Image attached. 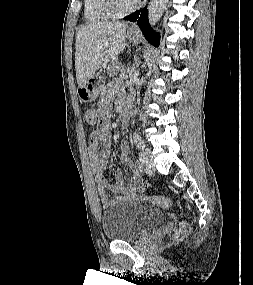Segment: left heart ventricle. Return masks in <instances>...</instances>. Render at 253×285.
Returning <instances> with one entry per match:
<instances>
[{
	"mask_svg": "<svg viewBox=\"0 0 253 285\" xmlns=\"http://www.w3.org/2000/svg\"><path fill=\"white\" fill-rule=\"evenodd\" d=\"M118 2L121 7L127 8L133 5L136 1L135 0H118Z\"/></svg>",
	"mask_w": 253,
	"mask_h": 285,
	"instance_id": "b2bd125f",
	"label": "left heart ventricle"
}]
</instances>
